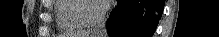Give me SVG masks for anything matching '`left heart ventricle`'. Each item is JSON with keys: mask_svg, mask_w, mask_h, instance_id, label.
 <instances>
[{"mask_svg": "<svg viewBox=\"0 0 219 37\" xmlns=\"http://www.w3.org/2000/svg\"><path fill=\"white\" fill-rule=\"evenodd\" d=\"M87 7L88 13L92 16H97L102 10V6L99 2H90L87 4Z\"/></svg>", "mask_w": 219, "mask_h": 37, "instance_id": "1", "label": "left heart ventricle"}]
</instances>
